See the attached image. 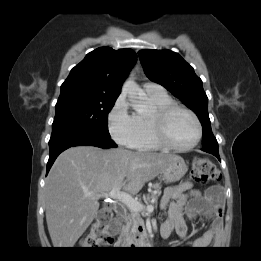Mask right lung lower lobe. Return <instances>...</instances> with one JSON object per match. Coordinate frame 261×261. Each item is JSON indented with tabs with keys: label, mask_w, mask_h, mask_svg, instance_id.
<instances>
[{
	"label": "right lung lower lobe",
	"mask_w": 261,
	"mask_h": 261,
	"mask_svg": "<svg viewBox=\"0 0 261 261\" xmlns=\"http://www.w3.org/2000/svg\"><path fill=\"white\" fill-rule=\"evenodd\" d=\"M73 146H96L103 149L117 147L115 142L110 138V135L88 130L52 135L49 141L50 156L47 163V173L57 156L64 150Z\"/></svg>",
	"instance_id": "right-lung-lower-lobe-1"
}]
</instances>
